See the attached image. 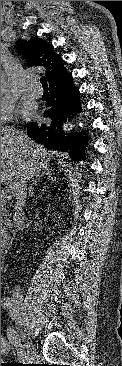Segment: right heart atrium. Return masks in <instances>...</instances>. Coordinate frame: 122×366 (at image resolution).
I'll use <instances>...</instances> for the list:
<instances>
[{"mask_svg":"<svg viewBox=\"0 0 122 366\" xmlns=\"http://www.w3.org/2000/svg\"><path fill=\"white\" fill-rule=\"evenodd\" d=\"M15 115V104L1 94V126L12 121Z\"/></svg>","mask_w":122,"mask_h":366,"instance_id":"obj_1","label":"right heart atrium"}]
</instances>
